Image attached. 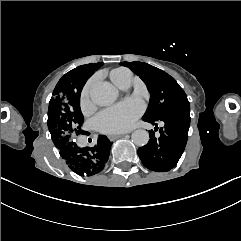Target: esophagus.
<instances>
[{
  "instance_id": "esophagus-1",
  "label": "esophagus",
  "mask_w": 241,
  "mask_h": 241,
  "mask_svg": "<svg viewBox=\"0 0 241 241\" xmlns=\"http://www.w3.org/2000/svg\"><path fill=\"white\" fill-rule=\"evenodd\" d=\"M123 136H125V134H123V133H121V134H111V135H108V138H109V140H111V141H115V140H117L118 138H121V137H123Z\"/></svg>"
}]
</instances>
